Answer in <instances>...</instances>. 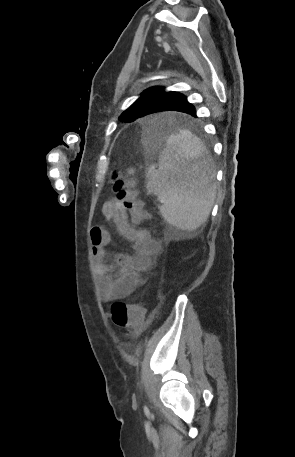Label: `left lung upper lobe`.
<instances>
[{"mask_svg":"<svg viewBox=\"0 0 295 457\" xmlns=\"http://www.w3.org/2000/svg\"><path fill=\"white\" fill-rule=\"evenodd\" d=\"M176 92H165L163 87H152L144 91L141 96L122 113L119 119L127 122L135 121L136 119L148 115L151 110L161 103L163 100Z\"/></svg>","mask_w":295,"mask_h":457,"instance_id":"left-lung-upper-lobe-1","label":"left lung upper lobe"}]
</instances>
